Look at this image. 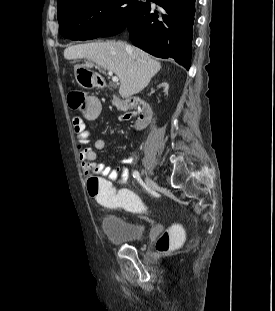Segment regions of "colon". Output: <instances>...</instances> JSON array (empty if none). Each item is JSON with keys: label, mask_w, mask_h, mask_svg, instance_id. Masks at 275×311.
<instances>
[{"label": "colon", "mask_w": 275, "mask_h": 311, "mask_svg": "<svg viewBox=\"0 0 275 311\" xmlns=\"http://www.w3.org/2000/svg\"><path fill=\"white\" fill-rule=\"evenodd\" d=\"M68 103L72 109L79 111L82 121H93L94 117L101 113L97 97H85L80 91H70ZM88 192L95 202L119 206L132 212L145 209V204L137 197L136 190H117L115 183H111V178H104L103 175H92L89 178ZM181 240L180 227L173 224L157 238L156 250L159 253H167L179 245Z\"/></svg>", "instance_id": "obj_1"}]
</instances>
